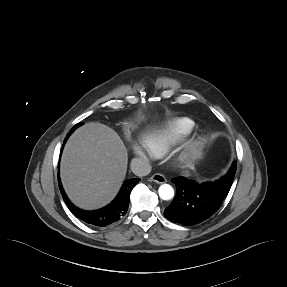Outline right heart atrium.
<instances>
[{"mask_svg":"<svg viewBox=\"0 0 287 287\" xmlns=\"http://www.w3.org/2000/svg\"><path fill=\"white\" fill-rule=\"evenodd\" d=\"M132 149L134 153L140 157H148L151 153L147 140L143 138L135 140L132 144Z\"/></svg>","mask_w":287,"mask_h":287,"instance_id":"d8ad5b80","label":"right heart atrium"}]
</instances>
